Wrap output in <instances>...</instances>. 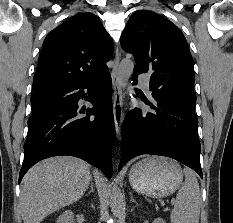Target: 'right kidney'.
I'll list each match as a JSON object with an SVG mask.
<instances>
[{
    "label": "right kidney",
    "instance_id": "obj_1",
    "mask_svg": "<svg viewBox=\"0 0 233 223\" xmlns=\"http://www.w3.org/2000/svg\"><path fill=\"white\" fill-rule=\"evenodd\" d=\"M74 219L73 211H71V209H66V211H63V213L59 215L56 223H75Z\"/></svg>",
    "mask_w": 233,
    "mask_h": 223
}]
</instances>
